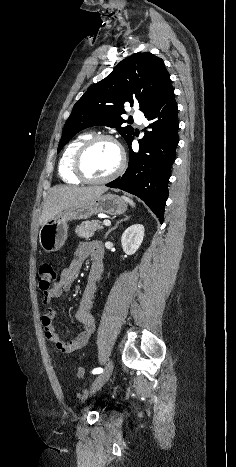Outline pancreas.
I'll return each instance as SVG.
<instances>
[{
    "label": "pancreas",
    "instance_id": "pancreas-1",
    "mask_svg": "<svg viewBox=\"0 0 236 467\" xmlns=\"http://www.w3.org/2000/svg\"><path fill=\"white\" fill-rule=\"evenodd\" d=\"M102 229L103 226L99 220L85 221L76 227L75 233L80 238L89 239L94 236L96 231H100Z\"/></svg>",
    "mask_w": 236,
    "mask_h": 467
}]
</instances>
